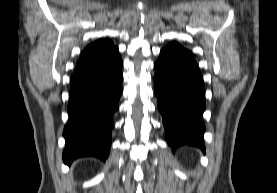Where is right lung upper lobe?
Segmentation results:
<instances>
[{
  "label": "right lung upper lobe",
  "mask_w": 277,
  "mask_h": 193,
  "mask_svg": "<svg viewBox=\"0 0 277 193\" xmlns=\"http://www.w3.org/2000/svg\"><path fill=\"white\" fill-rule=\"evenodd\" d=\"M116 47L109 39H101L89 44L82 52L77 65L88 64L101 59Z\"/></svg>",
  "instance_id": "cb5924a9"
}]
</instances>
